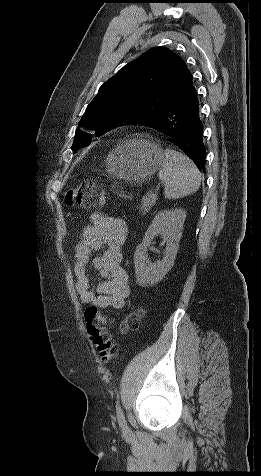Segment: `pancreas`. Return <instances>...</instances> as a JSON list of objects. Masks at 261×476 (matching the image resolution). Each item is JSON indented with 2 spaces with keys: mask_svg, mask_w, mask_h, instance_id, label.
<instances>
[{
  "mask_svg": "<svg viewBox=\"0 0 261 476\" xmlns=\"http://www.w3.org/2000/svg\"><path fill=\"white\" fill-rule=\"evenodd\" d=\"M154 205L155 199L153 198L152 194L148 193L141 199L140 212L145 215L146 212H148Z\"/></svg>",
  "mask_w": 261,
  "mask_h": 476,
  "instance_id": "1",
  "label": "pancreas"
}]
</instances>
